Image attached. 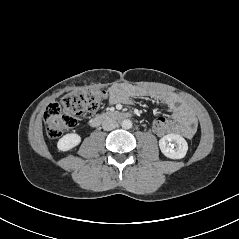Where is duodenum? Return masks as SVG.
I'll return each instance as SVG.
<instances>
[{"label": "duodenum", "mask_w": 239, "mask_h": 239, "mask_svg": "<svg viewBox=\"0 0 239 239\" xmlns=\"http://www.w3.org/2000/svg\"><path fill=\"white\" fill-rule=\"evenodd\" d=\"M131 115L126 112L122 111H108V112H103L101 114H98L95 116L91 121L90 125L92 127H97L101 125L102 123L108 121V120H123L126 118H129Z\"/></svg>", "instance_id": "410a0bca"}]
</instances>
